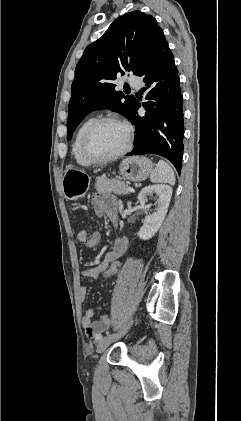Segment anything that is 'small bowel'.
<instances>
[{
	"instance_id": "c3829d8e",
	"label": "small bowel",
	"mask_w": 241,
	"mask_h": 421,
	"mask_svg": "<svg viewBox=\"0 0 241 421\" xmlns=\"http://www.w3.org/2000/svg\"><path fill=\"white\" fill-rule=\"evenodd\" d=\"M92 203L94 207V211L99 216H107L112 218L116 216L117 212V202L114 196L112 195H104L101 193H96L93 195ZM88 236V232L86 230H80L77 233V240L80 243H85V240ZM128 246V240L125 237H119L115 240L112 248L108 251L105 258L103 260H99L96 262L95 266L83 271V275L87 277H97L100 273H102L110 263L115 260L120 259L123 254L125 253ZM87 295V288L85 286H81L79 288V297L83 301L85 300ZM94 317V310L89 308L85 311V314L82 318V325L85 329V334L89 338H96L98 337L101 332L106 329L109 325V318L104 316L100 318L98 321L93 322L92 319Z\"/></svg>"
}]
</instances>
